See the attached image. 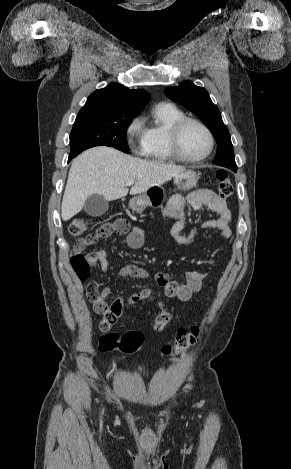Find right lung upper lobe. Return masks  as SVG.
I'll return each instance as SVG.
<instances>
[{"instance_id": "cb5924a9", "label": "right lung upper lobe", "mask_w": 291, "mask_h": 469, "mask_svg": "<svg viewBox=\"0 0 291 469\" xmlns=\"http://www.w3.org/2000/svg\"><path fill=\"white\" fill-rule=\"evenodd\" d=\"M145 90H130L118 83H111L94 91L78 115L101 117H135L149 102Z\"/></svg>"}]
</instances>
